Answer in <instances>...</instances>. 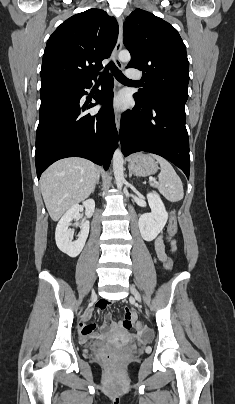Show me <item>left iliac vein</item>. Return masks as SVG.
Instances as JSON below:
<instances>
[{
  "label": "left iliac vein",
  "mask_w": 235,
  "mask_h": 404,
  "mask_svg": "<svg viewBox=\"0 0 235 404\" xmlns=\"http://www.w3.org/2000/svg\"><path fill=\"white\" fill-rule=\"evenodd\" d=\"M131 292H132L133 296L135 297V299L138 302H141L140 294L138 293V291L134 287H131Z\"/></svg>",
  "instance_id": "obj_1"
}]
</instances>
